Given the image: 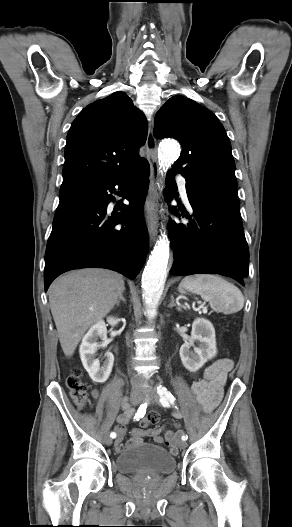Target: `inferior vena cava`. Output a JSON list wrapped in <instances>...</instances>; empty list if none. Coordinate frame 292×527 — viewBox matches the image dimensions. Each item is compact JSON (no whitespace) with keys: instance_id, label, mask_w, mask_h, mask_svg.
Returning <instances> with one entry per match:
<instances>
[{"instance_id":"602c4592","label":"inferior vena cava","mask_w":292,"mask_h":527,"mask_svg":"<svg viewBox=\"0 0 292 527\" xmlns=\"http://www.w3.org/2000/svg\"><path fill=\"white\" fill-rule=\"evenodd\" d=\"M133 379H134V380H133L132 384H133V385H138L139 382H140V379L138 378V376H137V375H134Z\"/></svg>"}]
</instances>
